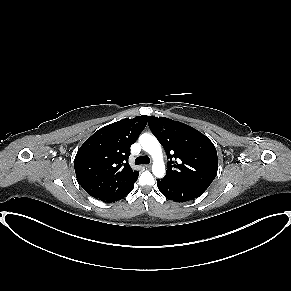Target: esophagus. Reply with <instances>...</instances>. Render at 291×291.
I'll return each instance as SVG.
<instances>
[{"mask_svg":"<svg viewBox=\"0 0 291 291\" xmlns=\"http://www.w3.org/2000/svg\"><path fill=\"white\" fill-rule=\"evenodd\" d=\"M144 168H146V169H150V168H151V165H150V164H148V165H144Z\"/></svg>","mask_w":291,"mask_h":291,"instance_id":"1","label":"esophagus"}]
</instances>
